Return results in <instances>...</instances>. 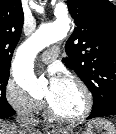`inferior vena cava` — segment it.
I'll return each instance as SVG.
<instances>
[{"mask_svg":"<svg viewBox=\"0 0 116 134\" xmlns=\"http://www.w3.org/2000/svg\"><path fill=\"white\" fill-rule=\"evenodd\" d=\"M17 129L20 134H29L37 125L34 115L28 111H21L17 116Z\"/></svg>","mask_w":116,"mask_h":134,"instance_id":"obj_1","label":"inferior vena cava"}]
</instances>
